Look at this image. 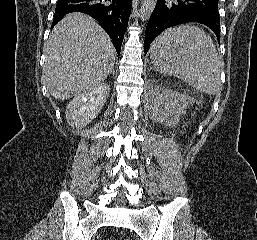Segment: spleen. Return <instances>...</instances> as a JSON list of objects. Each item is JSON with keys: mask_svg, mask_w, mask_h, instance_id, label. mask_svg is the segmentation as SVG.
Segmentation results:
<instances>
[{"mask_svg": "<svg viewBox=\"0 0 257 240\" xmlns=\"http://www.w3.org/2000/svg\"><path fill=\"white\" fill-rule=\"evenodd\" d=\"M150 58L156 71L173 75L205 94L221 91L223 62L209 35L183 25L162 32L152 43Z\"/></svg>", "mask_w": 257, "mask_h": 240, "instance_id": "3e777b00", "label": "spleen"}]
</instances>
